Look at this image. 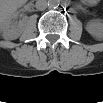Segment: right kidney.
Masks as SVG:
<instances>
[{"instance_id":"1","label":"right kidney","mask_w":103,"mask_h":103,"mask_svg":"<svg viewBox=\"0 0 103 103\" xmlns=\"http://www.w3.org/2000/svg\"><path fill=\"white\" fill-rule=\"evenodd\" d=\"M17 12L15 10H7L2 8L0 17V32L4 39L14 40L20 35V24L15 23Z\"/></svg>"}]
</instances>
